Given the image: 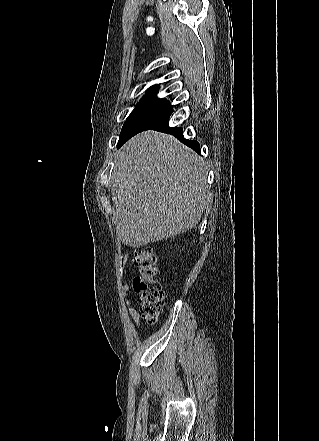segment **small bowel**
<instances>
[{
  "label": "small bowel",
  "mask_w": 319,
  "mask_h": 441,
  "mask_svg": "<svg viewBox=\"0 0 319 441\" xmlns=\"http://www.w3.org/2000/svg\"><path fill=\"white\" fill-rule=\"evenodd\" d=\"M126 290H128V286L126 287ZM126 303H127L128 312H129L131 318L133 319V321L136 324H138V322H139V314H138V312L134 308L131 307V304H130L129 300H127Z\"/></svg>",
  "instance_id": "1"
}]
</instances>
